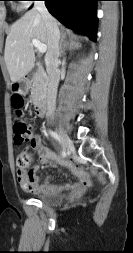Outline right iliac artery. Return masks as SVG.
I'll return each mask as SVG.
<instances>
[{"label":"right iliac artery","instance_id":"right-iliac-artery-1","mask_svg":"<svg viewBox=\"0 0 133 253\" xmlns=\"http://www.w3.org/2000/svg\"><path fill=\"white\" fill-rule=\"evenodd\" d=\"M49 134H50L55 140H57L59 143H61V137H60L56 132L49 130ZM65 155H66L65 152L62 151V156H65Z\"/></svg>","mask_w":133,"mask_h":253}]
</instances>
